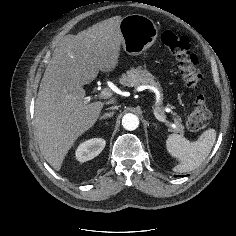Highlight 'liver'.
<instances>
[{
    "label": "liver",
    "mask_w": 236,
    "mask_h": 236,
    "mask_svg": "<svg viewBox=\"0 0 236 236\" xmlns=\"http://www.w3.org/2000/svg\"><path fill=\"white\" fill-rule=\"evenodd\" d=\"M121 20L114 16L77 35H66L45 69L35 102V127L40 151L56 171L105 104L89 102L83 85L91 83L99 71L111 72L118 65Z\"/></svg>",
    "instance_id": "1"
}]
</instances>
